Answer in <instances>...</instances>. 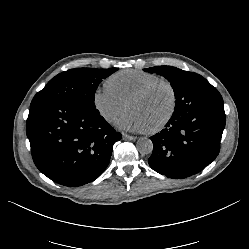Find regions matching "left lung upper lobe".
Masks as SVG:
<instances>
[{"instance_id":"5c2ea615","label":"left lung upper lobe","mask_w":249,"mask_h":249,"mask_svg":"<svg viewBox=\"0 0 249 249\" xmlns=\"http://www.w3.org/2000/svg\"><path fill=\"white\" fill-rule=\"evenodd\" d=\"M144 71L161 75L171 83L176 99L173 118L193 110L224 105L218 90L199 74L171 66H156Z\"/></svg>"}]
</instances>
